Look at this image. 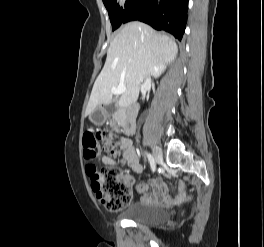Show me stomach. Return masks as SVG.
Wrapping results in <instances>:
<instances>
[{
    "mask_svg": "<svg viewBox=\"0 0 264 247\" xmlns=\"http://www.w3.org/2000/svg\"><path fill=\"white\" fill-rule=\"evenodd\" d=\"M94 116V123L100 124L105 121L107 114L104 108L101 106H97L94 111L91 113ZM90 115V116H91Z\"/></svg>",
    "mask_w": 264,
    "mask_h": 247,
    "instance_id": "stomach-1",
    "label": "stomach"
}]
</instances>
